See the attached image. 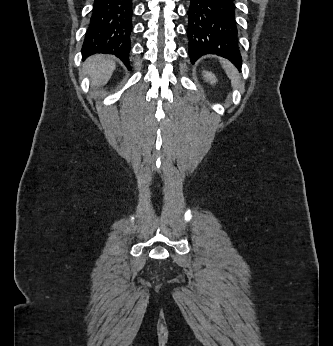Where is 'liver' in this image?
<instances>
[{"label": "liver", "mask_w": 333, "mask_h": 346, "mask_svg": "<svg viewBox=\"0 0 333 346\" xmlns=\"http://www.w3.org/2000/svg\"><path fill=\"white\" fill-rule=\"evenodd\" d=\"M115 69L112 56L96 54L89 57L84 63V70L91 78L92 86L105 85Z\"/></svg>", "instance_id": "1"}]
</instances>
